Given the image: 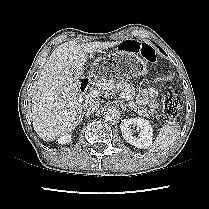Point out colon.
I'll return each mask as SVG.
<instances>
[{"label": "colon", "instance_id": "colon-1", "mask_svg": "<svg viewBox=\"0 0 209 209\" xmlns=\"http://www.w3.org/2000/svg\"><path fill=\"white\" fill-rule=\"evenodd\" d=\"M122 50L139 54L147 62L155 63L157 61L156 51L148 43L138 41H126L122 44ZM182 102L180 97L173 91L168 90L163 99V116L167 121H174L181 110Z\"/></svg>", "mask_w": 209, "mask_h": 209}]
</instances>
